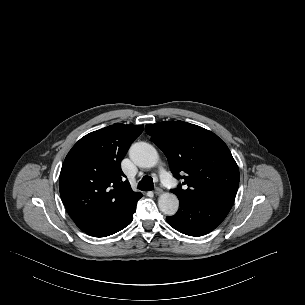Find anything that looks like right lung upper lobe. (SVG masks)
Wrapping results in <instances>:
<instances>
[{
	"instance_id": "obj_1",
	"label": "right lung upper lobe",
	"mask_w": 305,
	"mask_h": 305,
	"mask_svg": "<svg viewBox=\"0 0 305 305\" xmlns=\"http://www.w3.org/2000/svg\"><path fill=\"white\" fill-rule=\"evenodd\" d=\"M143 128L110 125L81 138L67 154L59 190L69 215L81 230L108 226L142 197L124 180L120 163Z\"/></svg>"
}]
</instances>
